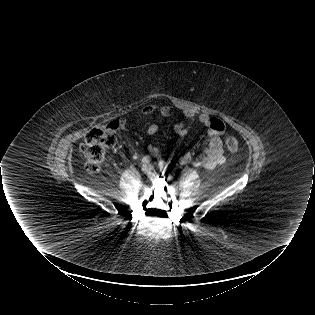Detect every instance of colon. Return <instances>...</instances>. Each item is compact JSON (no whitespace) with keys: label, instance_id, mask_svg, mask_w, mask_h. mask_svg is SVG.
<instances>
[{"label":"colon","instance_id":"1","mask_svg":"<svg viewBox=\"0 0 315 315\" xmlns=\"http://www.w3.org/2000/svg\"><path fill=\"white\" fill-rule=\"evenodd\" d=\"M119 129L116 122L100 125L90 130L80 146V151L85 159V167L88 172L96 173L107 151L113 146L115 133ZM227 149L235 153L239 149V142L234 136H227L225 139Z\"/></svg>","mask_w":315,"mask_h":315}]
</instances>
